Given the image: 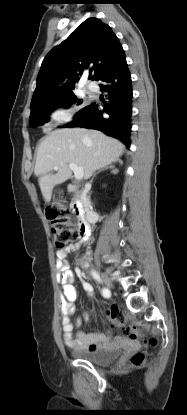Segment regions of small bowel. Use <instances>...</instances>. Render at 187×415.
<instances>
[{
  "label": "small bowel",
  "mask_w": 187,
  "mask_h": 415,
  "mask_svg": "<svg viewBox=\"0 0 187 415\" xmlns=\"http://www.w3.org/2000/svg\"><path fill=\"white\" fill-rule=\"evenodd\" d=\"M80 248V245H73L65 250L57 251L56 253V266L58 269V281L63 287V298L61 300V311H62V330L65 344L73 349L78 350H101L110 346L114 341L110 340L108 336H105L99 332L84 333L82 331L74 332V326L71 323L70 317L74 314V302L77 298V291L74 286L75 275L70 269L67 262V256L69 252L76 251ZM75 274L83 278L85 276L84 271L77 267ZM82 286L89 297H93L94 291L92 285L83 281ZM87 319V316L78 317L76 326L79 327L83 320ZM122 338H118V341Z\"/></svg>",
  "instance_id": "small-bowel-1"
}]
</instances>
